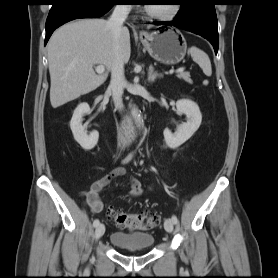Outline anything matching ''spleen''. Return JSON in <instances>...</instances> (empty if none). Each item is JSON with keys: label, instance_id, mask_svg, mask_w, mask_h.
Wrapping results in <instances>:
<instances>
[{"label": "spleen", "instance_id": "obj_1", "mask_svg": "<svg viewBox=\"0 0 278 278\" xmlns=\"http://www.w3.org/2000/svg\"><path fill=\"white\" fill-rule=\"evenodd\" d=\"M190 54L193 58V60L198 63V65L203 70L204 74L206 76H211L212 74V68H211V62L208 57V55L202 51L201 49L193 46L190 49Z\"/></svg>", "mask_w": 278, "mask_h": 278}]
</instances>
